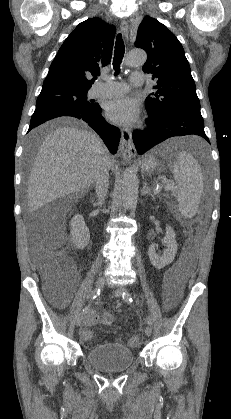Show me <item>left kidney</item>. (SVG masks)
Wrapping results in <instances>:
<instances>
[{"label": "left kidney", "instance_id": "5707ae66", "mask_svg": "<svg viewBox=\"0 0 231 419\" xmlns=\"http://www.w3.org/2000/svg\"><path fill=\"white\" fill-rule=\"evenodd\" d=\"M163 243H165L166 249L162 256L156 253V245L154 243H152L148 249L150 261L152 265L157 269H162L172 263L177 253L175 232L169 225L166 226V234L163 238Z\"/></svg>", "mask_w": 231, "mask_h": 419}]
</instances>
